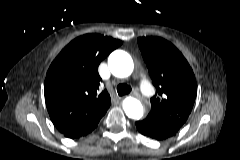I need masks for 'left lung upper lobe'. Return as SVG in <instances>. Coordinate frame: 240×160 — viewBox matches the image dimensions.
<instances>
[{"label":"left lung upper lobe","instance_id":"left-lung-upper-lobe-1","mask_svg":"<svg viewBox=\"0 0 240 160\" xmlns=\"http://www.w3.org/2000/svg\"><path fill=\"white\" fill-rule=\"evenodd\" d=\"M156 94L149 115L177 132L188 119L197 95V83L189 63L170 42L159 37L138 38Z\"/></svg>","mask_w":240,"mask_h":160}]
</instances>
